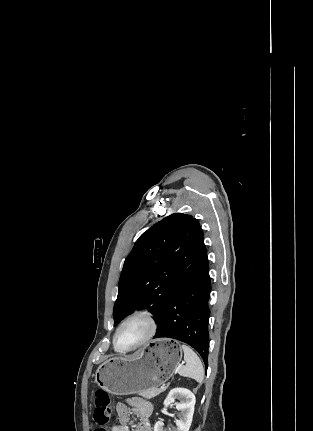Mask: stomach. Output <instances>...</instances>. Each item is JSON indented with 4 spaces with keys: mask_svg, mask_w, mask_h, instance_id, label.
Segmentation results:
<instances>
[{
    "mask_svg": "<svg viewBox=\"0 0 313 431\" xmlns=\"http://www.w3.org/2000/svg\"><path fill=\"white\" fill-rule=\"evenodd\" d=\"M181 358L182 349L177 342L157 339L132 356L114 357L102 363L95 373V382L115 395L158 388L171 378Z\"/></svg>",
    "mask_w": 313,
    "mask_h": 431,
    "instance_id": "1",
    "label": "stomach"
}]
</instances>
